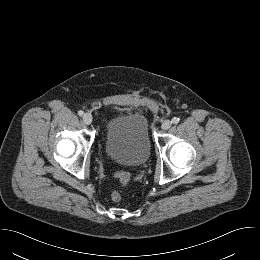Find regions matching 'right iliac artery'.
Wrapping results in <instances>:
<instances>
[{
    "label": "right iliac artery",
    "mask_w": 260,
    "mask_h": 260,
    "mask_svg": "<svg viewBox=\"0 0 260 260\" xmlns=\"http://www.w3.org/2000/svg\"><path fill=\"white\" fill-rule=\"evenodd\" d=\"M78 115L79 116H83L84 115V112L82 110L78 111Z\"/></svg>",
    "instance_id": "right-iliac-artery-1"
}]
</instances>
